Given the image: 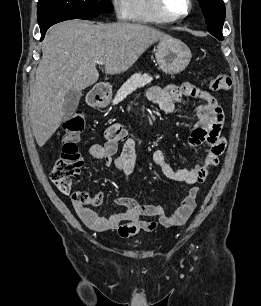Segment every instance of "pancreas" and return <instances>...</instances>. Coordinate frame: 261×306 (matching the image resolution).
Segmentation results:
<instances>
[{
	"instance_id": "cf45deb5",
	"label": "pancreas",
	"mask_w": 261,
	"mask_h": 306,
	"mask_svg": "<svg viewBox=\"0 0 261 306\" xmlns=\"http://www.w3.org/2000/svg\"><path fill=\"white\" fill-rule=\"evenodd\" d=\"M153 78L148 74L135 73L133 74L117 91L114 103H118L137 88H141L149 84Z\"/></svg>"
}]
</instances>
